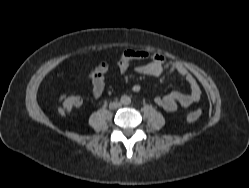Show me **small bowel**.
Wrapping results in <instances>:
<instances>
[{"label":"small bowel","mask_w":249,"mask_h":188,"mask_svg":"<svg viewBox=\"0 0 249 188\" xmlns=\"http://www.w3.org/2000/svg\"><path fill=\"white\" fill-rule=\"evenodd\" d=\"M133 61H146L135 69L141 75L156 77L162 83H165L170 75L177 74L184 78L188 84V93L171 92L155 98V103L165 111L174 112L180 106L189 107L199 101L201 97L200 86L196 78L181 63L167 61L158 53H150L144 50H126L117 63L119 71L126 72ZM109 70L110 65L107 62H101L89 73L91 95L94 99L100 98L104 93L105 76ZM136 89L135 86L134 90Z\"/></svg>","instance_id":"1"}]
</instances>
